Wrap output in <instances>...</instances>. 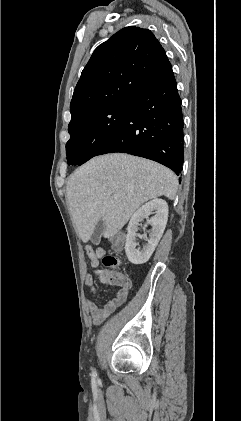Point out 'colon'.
Returning a JSON list of instances; mask_svg holds the SVG:
<instances>
[{"mask_svg":"<svg viewBox=\"0 0 241 421\" xmlns=\"http://www.w3.org/2000/svg\"><path fill=\"white\" fill-rule=\"evenodd\" d=\"M124 244V236L118 234L112 238V246L115 250H121ZM120 265V260L115 255H106L102 258L103 269L99 271L100 277L107 282L115 283L117 285H123L127 283V277L118 272L117 268Z\"/></svg>","mask_w":241,"mask_h":421,"instance_id":"obj_1","label":"colon"}]
</instances>
